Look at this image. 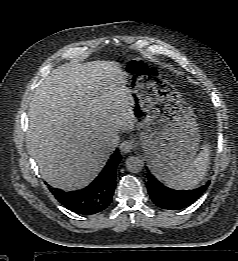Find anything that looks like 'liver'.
<instances>
[{
	"instance_id": "obj_1",
	"label": "liver",
	"mask_w": 238,
	"mask_h": 261,
	"mask_svg": "<svg viewBox=\"0 0 238 261\" xmlns=\"http://www.w3.org/2000/svg\"><path fill=\"white\" fill-rule=\"evenodd\" d=\"M125 72L114 61L54 69L28 110L27 149L42 178L66 191L89 185L108 161L106 139L137 122Z\"/></svg>"
}]
</instances>
